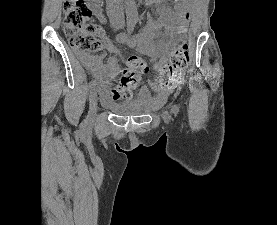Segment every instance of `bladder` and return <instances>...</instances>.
<instances>
[{"label": "bladder", "mask_w": 277, "mask_h": 225, "mask_svg": "<svg viewBox=\"0 0 277 225\" xmlns=\"http://www.w3.org/2000/svg\"><path fill=\"white\" fill-rule=\"evenodd\" d=\"M105 107L120 116H138L150 112L153 104L149 99H135L127 102L109 103Z\"/></svg>", "instance_id": "31cf9c89"}]
</instances>
